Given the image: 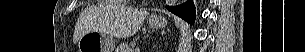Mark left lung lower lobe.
Masks as SVG:
<instances>
[{
    "label": "left lung lower lobe",
    "instance_id": "left-lung-lower-lobe-1",
    "mask_svg": "<svg viewBox=\"0 0 305 52\" xmlns=\"http://www.w3.org/2000/svg\"><path fill=\"white\" fill-rule=\"evenodd\" d=\"M169 11L186 20L187 22L193 24L195 21V12L193 3L191 0L187 1L185 4L180 6H169L167 7Z\"/></svg>",
    "mask_w": 305,
    "mask_h": 52
}]
</instances>
